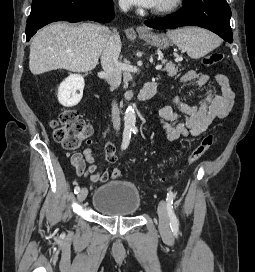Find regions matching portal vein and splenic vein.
I'll return each mask as SVG.
<instances>
[{
    "mask_svg": "<svg viewBox=\"0 0 255 272\" xmlns=\"http://www.w3.org/2000/svg\"><path fill=\"white\" fill-rule=\"evenodd\" d=\"M161 68H162V65H161V64H158V65L156 66V70H161Z\"/></svg>",
    "mask_w": 255,
    "mask_h": 272,
    "instance_id": "1",
    "label": "portal vein and splenic vein"
}]
</instances>
